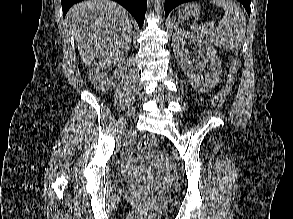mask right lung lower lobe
<instances>
[{
	"mask_svg": "<svg viewBox=\"0 0 293 219\" xmlns=\"http://www.w3.org/2000/svg\"><path fill=\"white\" fill-rule=\"evenodd\" d=\"M82 0H61L63 16L65 17L69 8ZM125 7L136 19L139 27L141 28L144 22V16L147 8L146 0H114Z\"/></svg>",
	"mask_w": 293,
	"mask_h": 219,
	"instance_id": "98d812e1",
	"label": "right lung lower lobe"
}]
</instances>
